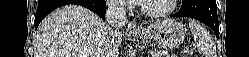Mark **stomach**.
Returning <instances> with one entry per match:
<instances>
[{
    "label": "stomach",
    "mask_w": 249,
    "mask_h": 57,
    "mask_svg": "<svg viewBox=\"0 0 249 57\" xmlns=\"http://www.w3.org/2000/svg\"><path fill=\"white\" fill-rule=\"evenodd\" d=\"M185 35V26L175 19L157 20L133 33V36L145 43H155L168 49L178 47L184 41Z\"/></svg>",
    "instance_id": "stomach-1"
}]
</instances>
